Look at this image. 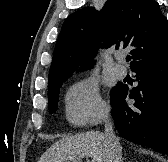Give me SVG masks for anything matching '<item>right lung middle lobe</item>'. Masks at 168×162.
<instances>
[{
	"label": "right lung middle lobe",
	"instance_id": "right-lung-middle-lobe-1",
	"mask_svg": "<svg viewBox=\"0 0 168 162\" xmlns=\"http://www.w3.org/2000/svg\"><path fill=\"white\" fill-rule=\"evenodd\" d=\"M63 81L65 80L57 81L48 85V101H49L48 108L50 113H55L57 110L58 95ZM116 91H117V86H115L111 91V100L114 94L116 93Z\"/></svg>",
	"mask_w": 168,
	"mask_h": 162
}]
</instances>
